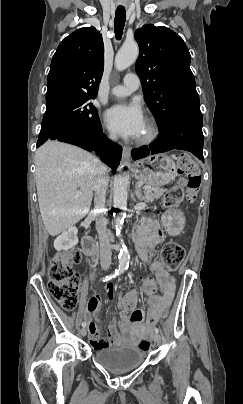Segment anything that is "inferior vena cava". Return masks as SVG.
I'll use <instances>...</instances> for the list:
<instances>
[{
  "label": "inferior vena cava",
  "mask_w": 243,
  "mask_h": 404,
  "mask_svg": "<svg viewBox=\"0 0 243 404\" xmlns=\"http://www.w3.org/2000/svg\"><path fill=\"white\" fill-rule=\"evenodd\" d=\"M111 138L112 140H117L116 136H111ZM107 172L108 170L107 168H105V166H100L99 174L94 184V190H95L94 212H96L97 214L96 230L98 232L100 242L101 267L108 269L109 264H111L112 252L106 228L107 220L106 218H104L106 190L109 182Z\"/></svg>",
  "instance_id": "obj_1"
}]
</instances>
